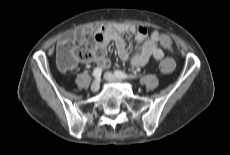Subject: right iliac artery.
I'll return each mask as SVG.
<instances>
[{"label": "right iliac artery", "mask_w": 230, "mask_h": 155, "mask_svg": "<svg viewBox=\"0 0 230 155\" xmlns=\"http://www.w3.org/2000/svg\"><path fill=\"white\" fill-rule=\"evenodd\" d=\"M101 73H102V69L99 68V67H97V68H95L94 71H93V77H94L95 79H99L100 76H101Z\"/></svg>", "instance_id": "right-iliac-artery-1"}]
</instances>
